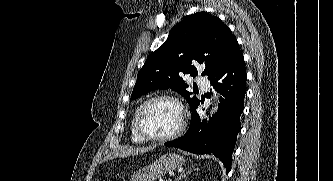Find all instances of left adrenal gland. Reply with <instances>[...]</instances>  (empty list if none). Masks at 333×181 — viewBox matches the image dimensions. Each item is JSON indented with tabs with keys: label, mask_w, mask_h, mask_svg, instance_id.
<instances>
[{
	"label": "left adrenal gland",
	"mask_w": 333,
	"mask_h": 181,
	"mask_svg": "<svg viewBox=\"0 0 333 181\" xmlns=\"http://www.w3.org/2000/svg\"><path fill=\"white\" fill-rule=\"evenodd\" d=\"M196 170V169H194ZM198 170V169H197ZM192 172V170H187V168L185 170H183L179 176L177 178H175L174 181H180L182 178H185L188 174H190Z\"/></svg>",
	"instance_id": "1"
}]
</instances>
